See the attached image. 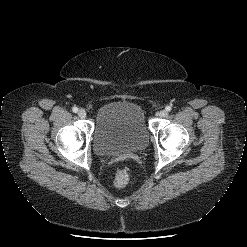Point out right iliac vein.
I'll use <instances>...</instances> for the list:
<instances>
[{
    "label": "right iliac vein",
    "mask_w": 247,
    "mask_h": 247,
    "mask_svg": "<svg viewBox=\"0 0 247 247\" xmlns=\"http://www.w3.org/2000/svg\"><path fill=\"white\" fill-rule=\"evenodd\" d=\"M78 116L80 118H85L86 117V111L84 109H79Z\"/></svg>",
    "instance_id": "63e3f726"
}]
</instances>
